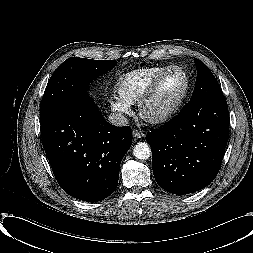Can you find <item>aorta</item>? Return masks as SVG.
<instances>
[{"mask_svg": "<svg viewBox=\"0 0 253 253\" xmlns=\"http://www.w3.org/2000/svg\"><path fill=\"white\" fill-rule=\"evenodd\" d=\"M133 155L140 160H146L151 155V148L147 143L139 142L133 149Z\"/></svg>", "mask_w": 253, "mask_h": 253, "instance_id": "obj_1", "label": "aorta"}]
</instances>
